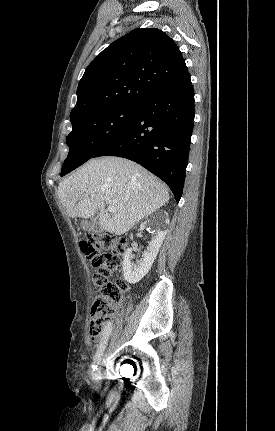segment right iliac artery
<instances>
[{
  "label": "right iliac artery",
  "mask_w": 275,
  "mask_h": 431,
  "mask_svg": "<svg viewBox=\"0 0 275 431\" xmlns=\"http://www.w3.org/2000/svg\"><path fill=\"white\" fill-rule=\"evenodd\" d=\"M112 328H113V324L111 322H108L107 325L105 326L101 342L99 343V345L97 347L96 354L94 356V362L92 365L93 371H95L97 369V364L99 363L101 356L104 352L107 341L111 335Z\"/></svg>",
  "instance_id": "1"
}]
</instances>
